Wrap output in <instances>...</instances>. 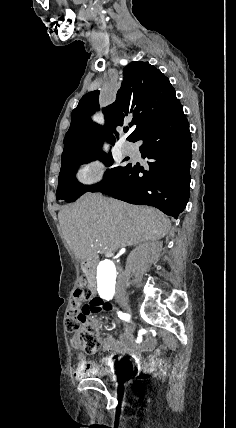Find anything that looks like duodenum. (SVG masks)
<instances>
[{
    "mask_svg": "<svg viewBox=\"0 0 236 428\" xmlns=\"http://www.w3.org/2000/svg\"><path fill=\"white\" fill-rule=\"evenodd\" d=\"M81 267L87 275L90 289L93 293L97 292L96 276L93 268V262L90 259H83L81 261Z\"/></svg>",
    "mask_w": 236,
    "mask_h": 428,
    "instance_id": "410a0bca",
    "label": "duodenum"
}]
</instances>
